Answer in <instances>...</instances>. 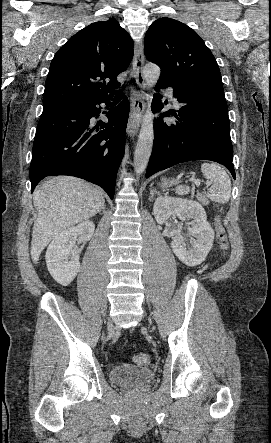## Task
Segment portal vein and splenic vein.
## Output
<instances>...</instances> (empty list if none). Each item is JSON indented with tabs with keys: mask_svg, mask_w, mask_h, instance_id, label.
Wrapping results in <instances>:
<instances>
[{
	"mask_svg": "<svg viewBox=\"0 0 271 443\" xmlns=\"http://www.w3.org/2000/svg\"><path fill=\"white\" fill-rule=\"evenodd\" d=\"M191 182H194L195 188H198V186H200V182L201 180H195V178H190ZM206 186H210V182H206Z\"/></svg>",
	"mask_w": 271,
	"mask_h": 443,
	"instance_id": "portal-vein-and-splenic-vein-1",
	"label": "portal vein and splenic vein"
}]
</instances>
